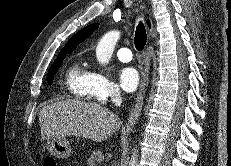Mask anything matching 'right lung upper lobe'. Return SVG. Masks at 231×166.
<instances>
[{
	"mask_svg": "<svg viewBox=\"0 0 231 166\" xmlns=\"http://www.w3.org/2000/svg\"><path fill=\"white\" fill-rule=\"evenodd\" d=\"M148 25L150 26L149 20H147ZM99 24L94 23L86 26L82 30H80L77 34H75L64 46V48L60 51V54H70L72 51L76 49V47L83 41H85L97 28Z\"/></svg>",
	"mask_w": 231,
	"mask_h": 166,
	"instance_id": "right-lung-upper-lobe-1",
	"label": "right lung upper lobe"
}]
</instances>
